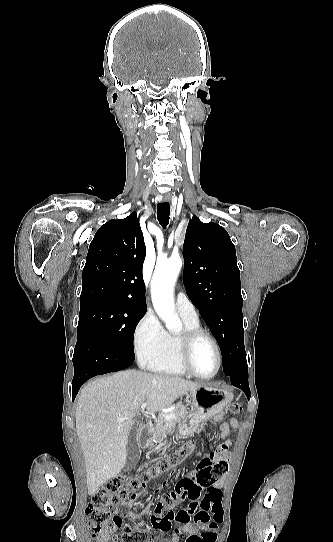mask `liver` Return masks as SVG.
<instances>
[{
	"label": "liver",
	"instance_id": "1",
	"mask_svg": "<svg viewBox=\"0 0 333 542\" xmlns=\"http://www.w3.org/2000/svg\"><path fill=\"white\" fill-rule=\"evenodd\" d=\"M202 384L167 374L126 370L96 378L81 390L75 420L87 478L88 496L115 478L127 460V444L142 404L148 414L169 408ZM117 418H128L116 422Z\"/></svg>",
	"mask_w": 333,
	"mask_h": 542
}]
</instances>
